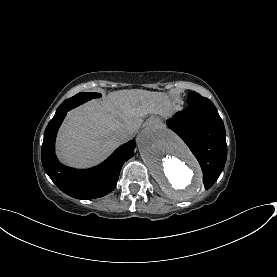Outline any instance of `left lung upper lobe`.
<instances>
[{
  "label": "left lung upper lobe",
  "mask_w": 277,
  "mask_h": 277,
  "mask_svg": "<svg viewBox=\"0 0 277 277\" xmlns=\"http://www.w3.org/2000/svg\"><path fill=\"white\" fill-rule=\"evenodd\" d=\"M188 108L184 110L186 113H204V114H218L214 104L207 98L201 96L196 92H191L187 99Z\"/></svg>",
  "instance_id": "1"
}]
</instances>
